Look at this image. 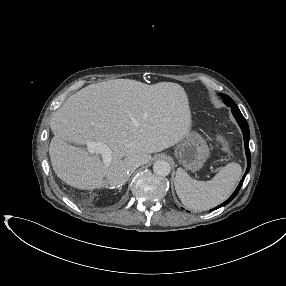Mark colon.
Returning <instances> with one entry per match:
<instances>
[{
  "instance_id": "obj_1",
  "label": "colon",
  "mask_w": 286,
  "mask_h": 286,
  "mask_svg": "<svg viewBox=\"0 0 286 286\" xmlns=\"http://www.w3.org/2000/svg\"><path fill=\"white\" fill-rule=\"evenodd\" d=\"M221 145H222V147H223V149L225 150V151H227L228 150V147H229V144H228V142L226 141V139H224V138H221Z\"/></svg>"
}]
</instances>
